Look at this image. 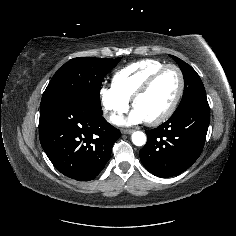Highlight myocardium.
<instances>
[{"label": "myocardium", "mask_w": 236, "mask_h": 236, "mask_svg": "<svg viewBox=\"0 0 236 236\" xmlns=\"http://www.w3.org/2000/svg\"><path fill=\"white\" fill-rule=\"evenodd\" d=\"M169 69H173L179 78V87H178V91L177 94L175 96V98L173 99L172 103L170 104V106L165 110V112H163L160 116H158L157 118L153 119V120H147V124L150 126H157L160 125L162 123H164L165 121H167L176 111L181 98L183 96L184 93V89H185V78H184V74L182 72V70L180 69V67H178L177 65L174 64H168L163 66L162 68H160L159 70H157L155 73H153L144 83L143 85L135 92V94L133 95L132 99H131V103H132V107H135V104L137 102V100L142 97L144 94H146L150 88L153 86V84L158 80V78L167 70Z\"/></svg>", "instance_id": "1"}]
</instances>
